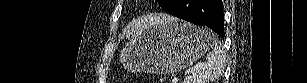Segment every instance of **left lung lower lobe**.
Returning <instances> with one entry per match:
<instances>
[{"label": "left lung lower lobe", "instance_id": "1", "mask_svg": "<svg viewBox=\"0 0 307 83\" xmlns=\"http://www.w3.org/2000/svg\"><path fill=\"white\" fill-rule=\"evenodd\" d=\"M167 12L196 25H206L224 39L223 4L220 0H175Z\"/></svg>", "mask_w": 307, "mask_h": 83}]
</instances>
